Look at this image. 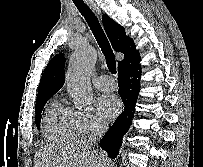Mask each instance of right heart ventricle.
Listing matches in <instances>:
<instances>
[{"instance_id": "obj_1", "label": "right heart ventricle", "mask_w": 203, "mask_h": 167, "mask_svg": "<svg viewBox=\"0 0 203 167\" xmlns=\"http://www.w3.org/2000/svg\"><path fill=\"white\" fill-rule=\"evenodd\" d=\"M42 130L45 138L51 142L73 140L78 134L73 110L58 101L51 102L43 118Z\"/></svg>"}]
</instances>
